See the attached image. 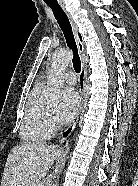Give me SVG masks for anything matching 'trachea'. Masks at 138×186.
<instances>
[{
    "label": "trachea",
    "mask_w": 138,
    "mask_h": 186,
    "mask_svg": "<svg viewBox=\"0 0 138 186\" xmlns=\"http://www.w3.org/2000/svg\"><path fill=\"white\" fill-rule=\"evenodd\" d=\"M46 4L52 9L54 16L63 31L67 45L73 51V67L74 70L79 73L81 71V61L78 55L70 21L58 2H46Z\"/></svg>",
    "instance_id": "trachea-1"
}]
</instances>
